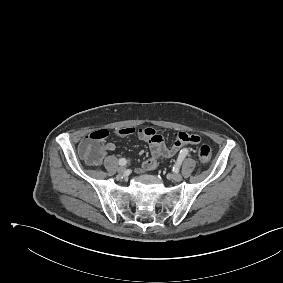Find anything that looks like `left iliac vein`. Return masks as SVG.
I'll return each mask as SVG.
<instances>
[{"label": "left iliac vein", "mask_w": 283, "mask_h": 283, "mask_svg": "<svg viewBox=\"0 0 283 283\" xmlns=\"http://www.w3.org/2000/svg\"><path fill=\"white\" fill-rule=\"evenodd\" d=\"M168 177H169L172 181H175V182H180V181H182V179H183L182 175H180V174H170V175H168Z\"/></svg>", "instance_id": "obj_1"}]
</instances>
